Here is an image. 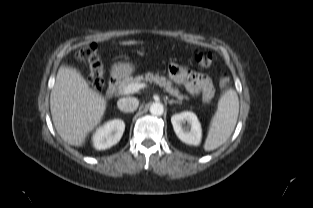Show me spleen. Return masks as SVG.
Here are the masks:
<instances>
[{"label": "spleen", "instance_id": "3e777b00", "mask_svg": "<svg viewBox=\"0 0 313 208\" xmlns=\"http://www.w3.org/2000/svg\"><path fill=\"white\" fill-rule=\"evenodd\" d=\"M238 114V95L235 90L229 89L218 101V109L211 121L205 140V151L217 149L229 139L236 126Z\"/></svg>", "mask_w": 313, "mask_h": 208}]
</instances>
